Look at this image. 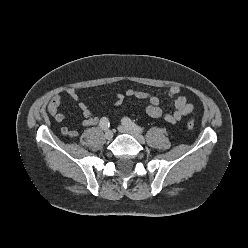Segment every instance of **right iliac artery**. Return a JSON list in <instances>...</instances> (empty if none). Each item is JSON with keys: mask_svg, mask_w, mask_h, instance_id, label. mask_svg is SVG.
Masks as SVG:
<instances>
[{"mask_svg": "<svg viewBox=\"0 0 248 248\" xmlns=\"http://www.w3.org/2000/svg\"><path fill=\"white\" fill-rule=\"evenodd\" d=\"M99 126L102 130H107L110 126L108 118L107 117L101 118Z\"/></svg>", "mask_w": 248, "mask_h": 248, "instance_id": "1", "label": "right iliac artery"}]
</instances>
